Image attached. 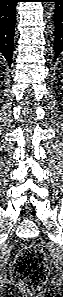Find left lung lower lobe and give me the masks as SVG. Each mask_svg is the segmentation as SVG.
I'll return each mask as SVG.
<instances>
[{
	"mask_svg": "<svg viewBox=\"0 0 63 297\" xmlns=\"http://www.w3.org/2000/svg\"><path fill=\"white\" fill-rule=\"evenodd\" d=\"M47 2H56L55 4V38H54V50L55 59L63 52V0H46Z\"/></svg>",
	"mask_w": 63,
	"mask_h": 297,
	"instance_id": "1",
	"label": "left lung lower lobe"
}]
</instances>
